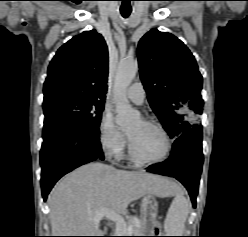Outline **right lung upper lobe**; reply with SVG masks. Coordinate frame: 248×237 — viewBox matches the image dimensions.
I'll use <instances>...</instances> for the list:
<instances>
[{
    "label": "right lung upper lobe",
    "instance_id": "1",
    "mask_svg": "<svg viewBox=\"0 0 248 237\" xmlns=\"http://www.w3.org/2000/svg\"><path fill=\"white\" fill-rule=\"evenodd\" d=\"M108 49L95 30L73 37L59 48L48 67L44 102L59 97L105 100Z\"/></svg>",
    "mask_w": 248,
    "mask_h": 237
}]
</instances>
